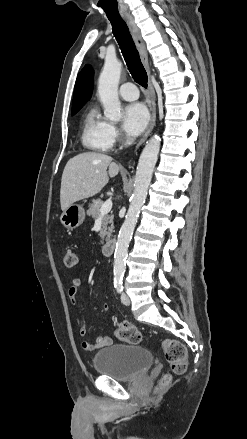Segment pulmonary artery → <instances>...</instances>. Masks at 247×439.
<instances>
[{"label":"pulmonary artery","instance_id":"obj_1","mask_svg":"<svg viewBox=\"0 0 247 439\" xmlns=\"http://www.w3.org/2000/svg\"><path fill=\"white\" fill-rule=\"evenodd\" d=\"M120 96L127 101L136 100L139 96L136 86L132 83H125L119 89Z\"/></svg>","mask_w":247,"mask_h":439}]
</instances>
